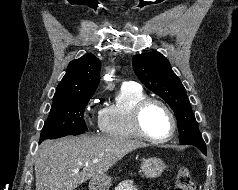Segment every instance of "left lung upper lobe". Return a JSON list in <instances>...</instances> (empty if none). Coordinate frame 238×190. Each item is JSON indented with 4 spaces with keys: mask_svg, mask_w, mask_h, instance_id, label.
<instances>
[{
    "mask_svg": "<svg viewBox=\"0 0 238 190\" xmlns=\"http://www.w3.org/2000/svg\"><path fill=\"white\" fill-rule=\"evenodd\" d=\"M132 61L134 72L142 83L173 109L178 122L180 144L194 145L206 154V144L200 134L186 90L172 71L169 61L158 52L135 55Z\"/></svg>",
    "mask_w": 238,
    "mask_h": 190,
    "instance_id": "left-lung-upper-lobe-1",
    "label": "left lung upper lobe"
}]
</instances>
